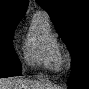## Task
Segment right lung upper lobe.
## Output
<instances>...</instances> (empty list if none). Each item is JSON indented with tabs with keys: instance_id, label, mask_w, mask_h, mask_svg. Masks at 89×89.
Segmentation results:
<instances>
[{
	"instance_id": "obj_1",
	"label": "right lung upper lobe",
	"mask_w": 89,
	"mask_h": 89,
	"mask_svg": "<svg viewBox=\"0 0 89 89\" xmlns=\"http://www.w3.org/2000/svg\"><path fill=\"white\" fill-rule=\"evenodd\" d=\"M28 7V0H0V17L20 20Z\"/></svg>"
}]
</instances>
